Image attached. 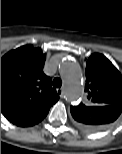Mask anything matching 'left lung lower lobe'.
I'll return each instance as SVG.
<instances>
[{
	"instance_id": "obj_1",
	"label": "left lung lower lobe",
	"mask_w": 122,
	"mask_h": 154,
	"mask_svg": "<svg viewBox=\"0 0 122 154\" xmlns=\"http://www.w3.org/2000/svg\"><path fill=\"white\" fill-rule=\"evenodd\" d=\"M81 110L82 113L79 114V119L82 123L76 121L78 126L87 131H99L118 118L122 112V107L117 105L103 107L84 106Z\"/></svg>"
}]
</instances>
